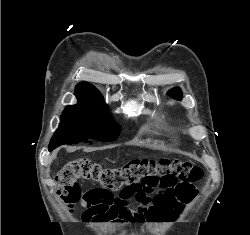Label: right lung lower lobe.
I'll return each instance as SVG.
<instances>
[{"label":"right lung lower lobe","mask_w":250,"mask_h":235,"mask_svg":"<svg viewBox=\"0 0 250 235\" xmlns=\"http://www.w3.org/2000/svg\"><path fill=\"white\" fill-rule=\"evenodd\" d=\"M56 147H58V146H56V145H49V151H52Z\"/></svg>","instance_id":"right-lung-lower-lobe-1"}]
</instances>
